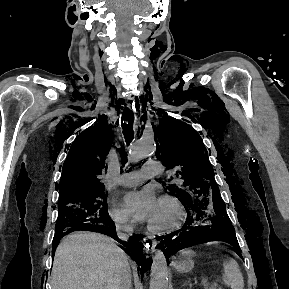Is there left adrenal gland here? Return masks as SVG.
Returning a JSON list of instances; mask_svg holds the SVG:
<instances>
[{"mask_svg":"<svg viewBox=\"0 0 289 289\" xmlns=\"http://www.w3.org/2000/svg\"><path fill=\"white\" fill-rule=\"evenodd\" d=\"M187 284L191 285L189 281H186L183 285H187Z\"/></svg>","mask_w":289,"mask_h":289,"instance_id":"1","label":"left adrenal gland"}]
</instances>
